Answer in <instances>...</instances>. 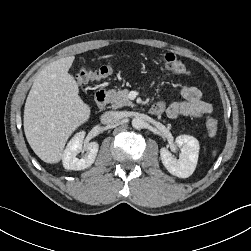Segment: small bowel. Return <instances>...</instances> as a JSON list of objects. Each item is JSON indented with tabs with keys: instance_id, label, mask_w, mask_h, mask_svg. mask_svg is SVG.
I'll list each match as a JSON object with an SVG mask.
<instances>
[{
	"instance_id": "c3829d8e",
	"label": "small bowel",
	"mask_w": 251,
	"mask_h": 251,
	"mask_svg": "<svg viewBox=\"0 0 251 251\" xmlns=\"http://www.w3.org/2000/svg\"><path fill=\"white\" fill-rule=\"evenodd\" d=\"M183 102L166 104L164 101L157 102L160 113L165 112L169 118L179 116L200 118L212 111V105L202 100V91L197 85H184L181 87Z\"/></svg>"
}]
</instances>
